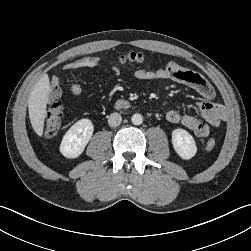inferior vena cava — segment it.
Masks as SVG:
<instances>
[{
	"label": "inferior vena cava",
	"instance_id": "1",
	"mask_svg": "<svg viewBox=\"0 0 251 251\" xmlns=\"http://www.w3.org/2000/svg\"><path fill=\"white\" fill-rule=\"evenodd\" d=\"M122 117L119 113H112L108 118V125L110 127H117L121 124Z\"/></svg>",
	"mask_w": 251,
	"mask_h": 251
}]
</instances>
